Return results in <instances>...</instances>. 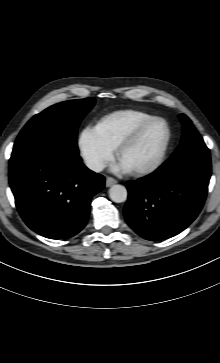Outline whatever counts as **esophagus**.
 <instances>
[{
  "label": "esophagus",
  "mask_w": 220,
  "mask_h": 363,
  "mask_svg": "<svg viewBox=\"0 0 220 363\" xmlns=\"http://www.w3.org/2000/svg\"><path fill=\"white\" fill-rule=\"evenodd\" d=\"M105 183H106L107 187H110V186L116 184L117 180L108 176V177H106V182Z\"/></svg>",
  "instance_id": "1"
}]
</instances>
